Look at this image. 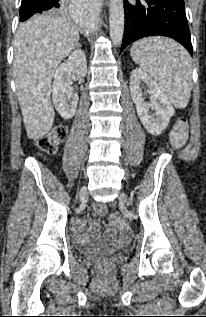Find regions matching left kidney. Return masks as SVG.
<instances>
[{
    "label": "left kidney",
    "instance_id": "left-kidney-1",
    "mask_svg": "<svg viewBox=\"0 0 206 317\" xmlns=\"http://www.w3.org/2000/svg\"><path fill=\"white\" fill-rule=\"evenodd\" d=\"M141 86L147 88L150 101H144ZM130 93L136 105L137 114L145 129L152 135H160L174 115V108L170 101L154 82L152 77L141 68H136L130 76ZM154 111V113L151 112Z\"/></svg>",
    "mask_w": 206,
    "mask_h": 317
}]
</instances>
